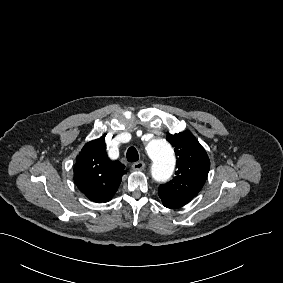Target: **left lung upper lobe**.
I'll return each mask as SVG.
<instances>
[{
  "instance_id": "obj_1",
  "label": "left lung upper lobe",
  "mask_w": 283,
  "mask_h": 283,
  "mask_svg": "<svg viewBox=\"0 0 283 283\" xmlns=\"http://www.w3.org/2000/svg\"><path fill=\"white\" fill-rule=\"evenodd\" d=\"M177 156L175 177L160 185L158 195L167 208H179L189 203L202 189L210 168V160L198 140L187 131L167 134Z\"/></svg>"
}]
</instances>
